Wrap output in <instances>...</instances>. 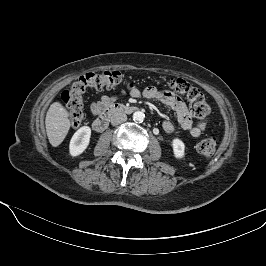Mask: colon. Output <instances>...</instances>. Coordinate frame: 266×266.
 Wrapping results in <instances>:
<instances>
[{
  "mask_svg": "<svg viewBox=\"0 0 266 266\" xmlns=\"http://www.w3.org/2000/svg\"><path fill=\"white\" fill-rule=\"evenodd\" d=\"M122 80L119 71H105L102 73H86L72 83L68 90L62 94V99L68 108L70 123L78 127L83 120V96L89 89L110 90L115 88ZM171 91L176 95L184 96L190 106L194 117L200 122H206L209 118L210 109L204 95L195 87L183 79H172L168 83ZM197 152L204 158H210L216 150L214 138H205L198 142Z\"/></svg>",
  "mask_w": 266,
  "mask_h": 266,
  "instance_id": "1",
  "label": "colon"
}]
</instances>
